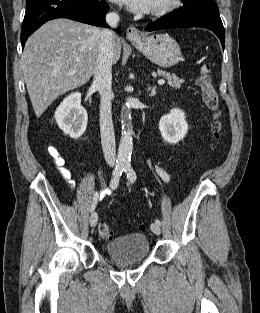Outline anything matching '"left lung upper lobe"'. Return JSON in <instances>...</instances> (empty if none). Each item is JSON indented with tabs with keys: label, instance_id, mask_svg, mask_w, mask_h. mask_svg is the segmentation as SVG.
<instances>
[{
	"label": "left lung upper lobe",
	"instance_id": "left-lung-upper-lobe-1",
	"mask_svg": "<svg viewBox=\"0 0 260 313\" xmlns=\"http://www.w3.org/2000/svg\"><path fill=\"white\" fill-rule=\"evenodd\" d=\"M184 5L177 10L186 14H202L220 18L219 9L214 0H184Z\"/></svg>",
	"mask_w": 260,
	"mask_h": 313
}]
</instances>
